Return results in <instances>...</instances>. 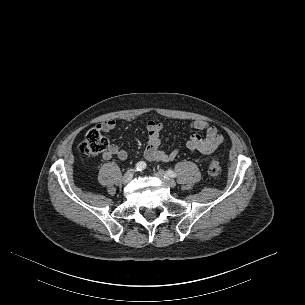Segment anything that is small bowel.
I'll use <instances>...</instances> for the list:
<instances>
[{"instance_id":"small-bowel-1","label":"small bowel","mask_w":305,"mask_h":305,"mask_svg":"<svg viewBox=\"0 0 305 305\" xmlns=\"http://www.w3.org/2000/svg\"><path fill=\"white\" fill-rule=\"evenodd\" d=\"M116 127V121L113 119L106 120L97 125L98 130L109 132ZM193 130L204 131V135L194 134L186 142V148L191 153H199L204 156L212 154L223 142V137L219 130L203 120L193 121L190 125ZM164 126L154 120L147 123L148 141L144 151L147 160L153 162H170L179 155V148L172 151H164L160 148L161 133ZM105 160L117 157L119 160H126L128 153L121 149L117 144H111L103 153Z\"/></svg>"}]
</instances>
